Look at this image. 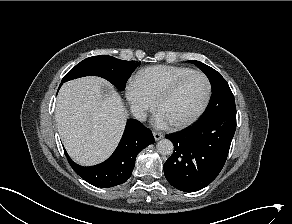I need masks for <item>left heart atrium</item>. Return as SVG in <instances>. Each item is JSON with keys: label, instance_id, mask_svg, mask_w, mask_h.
<instances>
[{"label": "left heart atrium", "instance_id": "obj_1", "mask_svg": "<svg viewBox=\"0 0 292 224\" xmlns=\"http://www.w3.org/2000/svg\"><path fill=\"white\" fill-rule=\"evenodd\" d=\"M156 122H157V124L159 125V126H167L168 125V123H167V121L164 119V117L162 116V115H160L159 113H158V115H157V117H156Z\"/></svg>", "mask_w": 292, "mask_h": 224}]
</instances>
